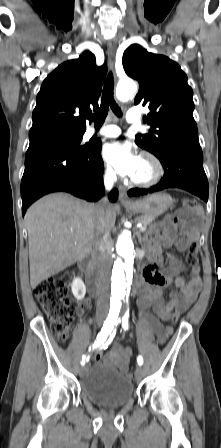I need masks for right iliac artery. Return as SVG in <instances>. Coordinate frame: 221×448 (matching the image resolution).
<instances>
[{
    "mask_svg": "<svg viewBox=\"0 0 221 448\" xmlns=\"http://www.w3.org/2000/svg\"><path fill=\"white\" fill-rule=\"evenodd\" d=\"M117 324H118L117 316L107 318L103 324L101 331L97 335V339H96L95 343L91 347H89V351L91 349L94 350V349L98 348L99 346H101L105 342L107 337L111 334V332L114 331ZM88 360H89V356L83 355L82 360H81V365H84Z\"/></svg>",
    "mask_w": 221,
    "mask_h": 448,
    "instance_id": "right-iliac-artery-1",
    "label": "right iliac artery"
}]
</instances>
